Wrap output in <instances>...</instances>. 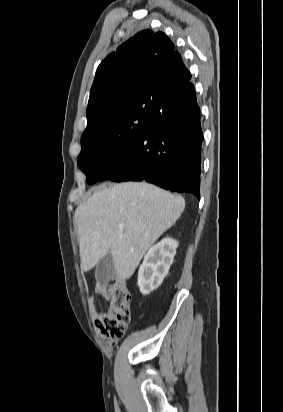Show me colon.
Instances as JSON below:
<instances>
[{
	"label": "colon",
	"instance_id": "obj_1",
	"mask_svg": "<svg viewBox=\"0 0 283 412\" xmlns=\"http://www.w3.org/2000/svg\"><path fill=\"white\" fill-rule=\"evenodd\" d=\"M109 307L96 318L97 335L107 344H116L124 335L130 321L129 295L123 283L111 281L107 285Z\"/></svg>",
	"mask_w": 283,
	"mask_h": 412
}]
</instances>
